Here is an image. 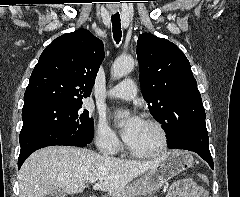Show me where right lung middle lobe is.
Here are the masks:
<instances>
[{
  "label": "right lung middle lobe",
  "mask_w": 240,
  "mask_h": 197,
  "mask_svg": "<svg viewBox=\"0 0 240 197\" xmlns=\"http://www.w3.org/2000/svg\"><path fill=\"white\" fill-rule=\"evenodd\" d=\"M22 120L23 126L48 125L64 130L83 142L90 143L93 139V119L86 109H82V103H52L23 110Z\"/></svg>",
  "instance_id": "obj_1"
}]
</instances>
